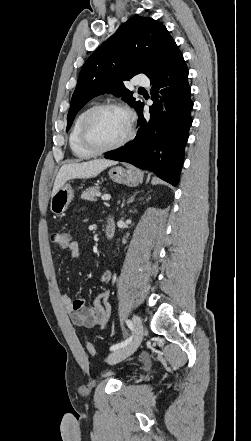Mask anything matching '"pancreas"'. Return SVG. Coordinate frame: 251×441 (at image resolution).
<instances>
[{
    "label": "pancreas",
    "mask_w": 251,
    "mask_h": 441,
    "mask_svg": "<svg viewBox=\"0 0 251 441\" xmlns=\"http://www.w3.org/2000/svg\"><path fill=\"white\" fill-rule=\"evenodd\" d=\"M99 194L100 188L98 186L89 187L82 193L81 198L88 201H96V196Z\"/></svg>",
    "instance_id": "1"
}]
</instances>
